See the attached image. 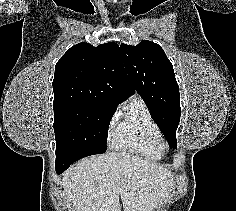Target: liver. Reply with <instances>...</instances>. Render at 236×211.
I'll list each match as a JSON object with an SVG mask.
<instances>
[{
  "instance_id": "1",
  "label": "liver",
  "mask_w": 236,
  "mask_h": 211,
  "mask_svg": "<svg viewBox=\"0 0 236 211\" xmlns=\"http://www.w3.org/2000/svg\"><path fill=\"white\" fill-rule=\"evenodd\" d=\"M70 211H153L173 187L164 166L127 152L92 156L72 165L61 183Z\"/></svg>"
}]
</instances>
